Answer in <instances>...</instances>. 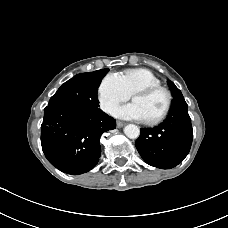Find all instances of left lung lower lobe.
Here are the masks:
<instances>
[{
  "mask_svg": "<svg viewBox=\"0 0 228 228\" xmlns=\"http://www.w3.org/2000/svg\"><path fill=\"white\" fill-rule=\"evenodd\" d=\"M192 138L193 130L188 105L180 94L174 97L167 119L157 127L142 128L135 145L147 164L170 169L187 156Z\"/></svg>",
  "mask_w": 228,
  "mask_h": 228,
  "instance_id": "left-lung-lower-lobe-1",
  "label": "left lung lower lobe"
}]
</instances>
